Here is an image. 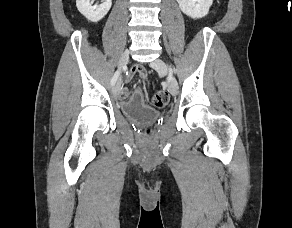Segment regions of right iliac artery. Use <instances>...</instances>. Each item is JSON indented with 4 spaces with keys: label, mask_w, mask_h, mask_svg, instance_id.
Instances as JSON below:
<instances>
[{
    "label": "right iliac artery",
    "mask_w": 292,
    "mask_h": 228,
    "mask_svg": "<svg viewBox=\"0 0 292 228\" xmlns=\"http://www.w3.org/2000/svg\"><path fill=\"white\" fill-rule=\"evenodd\" d=\"M120 75V70H117L111 79V85L114 86L118 77Z\"/></svg>",
    "instance_id": "1"
}]
</instances>
